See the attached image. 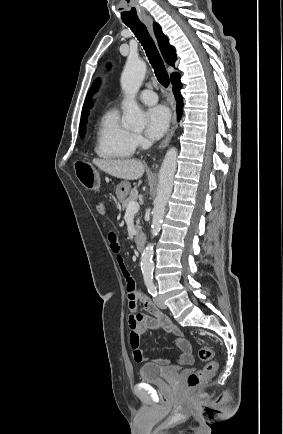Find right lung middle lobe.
<instances>
[{"label": "right lung middle lobe", "instance_id": "1", "mask_svg": "<svg viewBox=\"0 0 283 434\" xmlns=\"http://www.w3.org/2000/svg\"><path fill=\"white\" fill-rule=\"evenodd\" d=\"M85 124H86V123H81V124H80V131H79V133H80L81 138L84 137Z\"/></svg>", "mask_w": 283, "mask_h": 434}]
</instances>
